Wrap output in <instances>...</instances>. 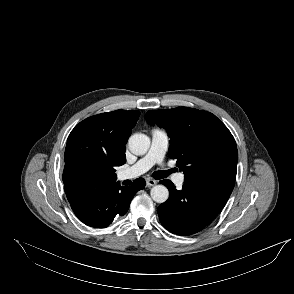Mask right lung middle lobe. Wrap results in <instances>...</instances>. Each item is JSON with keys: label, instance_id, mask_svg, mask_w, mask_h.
Here are the masks:
<instances>
[{"label": "right lung middle lobe", "instance_id": "obj_1", "mask_svg": "<svg viewBox=\"0 0 294 294\" xmlns=\"http://www.w3.org/2000/svg\"><path fill=\"white\" fill-rule=\"evenodd\" d=\"M98 174L99 170L91 164L79 165L71 171L72 178L79 182H93Z\"/></svg>", "mask_w": 294, "mask_h": 294}]
</instances>
